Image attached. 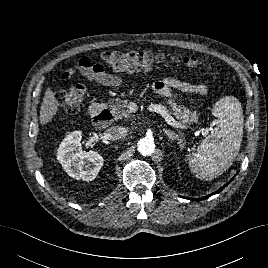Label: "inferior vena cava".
<instances>
[{"mask_svg": "<svg viewBox=\"0 0 268 268\" xmlns=\"http://www.w3.org/2000/svg\"><path fill=\"white\" fill-rule=\"evenodd\" d=\"M124 132V128L112 126L105 131V136L109 140H119L123 137Z\"/></svg>", "mask_w": 268, "mask_h": 268, "instance_id": "602c4592", "label": "inferior vena cava"}]
</instances>
